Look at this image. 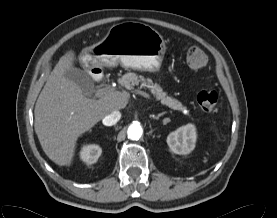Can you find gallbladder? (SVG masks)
I'll list each match as a JSON object with an SVG mask.
<instances>
[{
    "instance_id": "1",
    "label": "gallbladder",
    "mask_w": 277,
    "mask_h": 218,
    "mask_svg": "<svg viewBox=\"0 0 277 218\" xmlns=\"http://www.w3.org/2000/svg\"><path fill=\"white\" fill-rule=\"evenodd\" d=\"M65 78L77 84L84 95L90 93L94 86V82L89 76V74L79 68H70L65 71Z\"/></svg>"
}]
</instances>
